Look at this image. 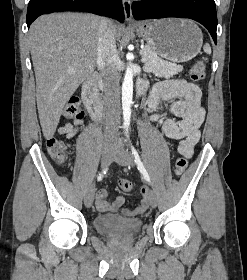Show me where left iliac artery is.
Masks as SVG:
<instances>
[{
	"label": "left iliac artery",
	"mask_w": 247,
	"mask_h": 280,
	"mask_svg": "<svg viewBox=\"0 0 247 280\" xmlns=\"http://www.w3.org/2000/svg\"><path fill=\"white\" fill-rule=\"evenodd\" d=\"M131 150H132V154L134 156V161L135 163L137 164V168L138 170L142 173L144 179L150 183V176L148 174V172L146 171L141 159H140V156L137 152V150L134 148V146L131 144Z\"/></svg>",
	"instance_id": "obj_1"
}]
</instances>
